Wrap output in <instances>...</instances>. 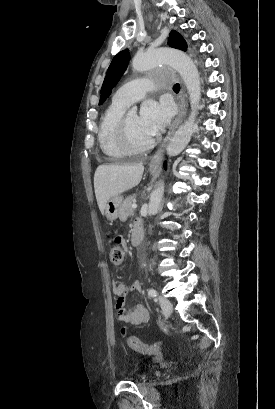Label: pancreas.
I'll list each match as a JSON object with an SVG mask.
<instances>
[{
	"label": "pancreas",
	"mask_w": 275,
	"mask_h": 409,
	"mask_svg": "<svg viewBox=\"0 0 275 409\" xmlns=\"http://www.w3.org/2000/svg\"><path fill=\"white\" fill-rule=\"evenodd\" d=\"M136 194H133V196H127L125 200H123L122 205H120L119 209V219L120 221H126L127 217L129 215H133V200H135Z\"/></svg>",
	"instance_id": "pancreas-1"
}]
</instances>
